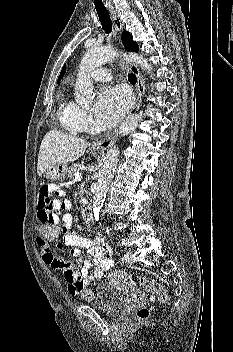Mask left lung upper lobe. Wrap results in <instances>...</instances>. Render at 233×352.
Here are the masks:
<instances>
[{"label": "left lung upper lobe", "mask_w": 233, "mask_h": 352, "mask_svg": "<svg viewBox=\"0 0 233 352\" xmlns=\"http://www.w3.org/2000/svg\"><path fill=\"white\" fill-rule=\"evenodd\" d=\"M122 43L130 51L137 52L139 49L138 44L132 40V35L127 31L122 33Z\"/></svg>", "instance_id": "obj_1"}]
</instances>
